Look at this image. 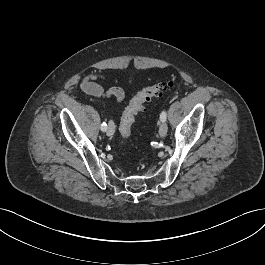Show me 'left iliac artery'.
Wrapping results in <instances>:
<instances>
[{
	"label": "left iliac artery",
	"mask_w": 265,
	"mask_h": 265,
	"mask_svg": "<svg viewBox=\"0 0 265 265\" xmlns=\"http://www.w3.org/2000/svg\"><path fill=\"white\" fill-rule=\"evenodd\" d=\"M166 117H167L166 111H162V113L160 114L161 121H166Z\"/></svg>",
	"instance_id": "left-iliac-artery-1"
}]
</instances>
